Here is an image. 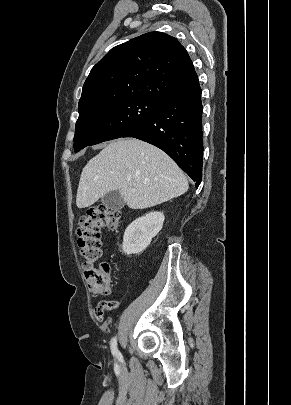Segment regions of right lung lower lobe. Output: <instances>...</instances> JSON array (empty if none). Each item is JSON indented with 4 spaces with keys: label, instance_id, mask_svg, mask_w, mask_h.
Segmentation results:
<instances>
[{
    "label": "right lung lower lobe",
    "instance_id": "1",
    "mask_svg": "<svg viewBox=\"0 0 291 405\" xmlns=\"http://www.w3.org/2000/svg\"><path fill=\"white\" fill-rule=\"evenodd\" d=\"M202 109L197 80L164 96L156 111L123 137H134L160 148L198 187L203 163Z\"/></svg>",
    "mask_w": 291,
    "mask_h": 405
}]
</instances>
